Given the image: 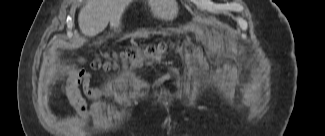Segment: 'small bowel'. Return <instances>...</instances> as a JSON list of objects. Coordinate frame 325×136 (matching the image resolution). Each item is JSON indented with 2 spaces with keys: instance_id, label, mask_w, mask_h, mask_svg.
<instances>
[{
  "instance_id": "c3829d8e",
  "label": "small bowel",
  "mask_w": 325,
  "mask_h": 136,
  "mask_svg": "<svg viewBox=\"0 0 325 136\" xmlns=\"http://www.w3.org/2000/svg\"><path fill=\"white\" fill-rule=\"evenodd\" d=\"M72 78L70 80V87L68 91V98L77 112H85L86 111V104L84 99L78 93V86L82 85L85 92L89 95L94 94L96 91L90 85V74L84 70H77L74 69L71 71ZM172 77L171 73L164 74L160 78V82L168 80ZM158 92L163 95L165 98H168V95L165 91H163L159 84H157ZM62 97L65 95L63 92L60 94Z\"/></svg>"
}]
</instances>
